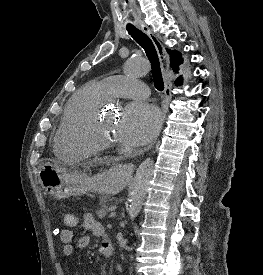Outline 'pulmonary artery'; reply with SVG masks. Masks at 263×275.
Segmentation results:
<instances>
[{
	"mask_svg": "<svg viewBox=\"0 0 263 275\" xmlns=\"http://www.w3.org/2000/svg\"><path fill=\"white\" fill-rule=\"evenodd\" d=\"M109 99L114 97L142 99L149 95L147 85L135 78L122 75L109 76L100 81Z\"/></svg>",
	"mask_w": 263,
	"mask_h": 275,
	"instance_id": "1",
	"label": "pulmonary artery"
}]
</instances>
